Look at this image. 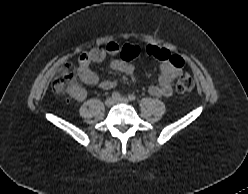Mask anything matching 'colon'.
<instances>
[{"label":"colon","instance_id":"colon-1","mask_svg":"<svg viewBox=\"0 0 248 194\" xmlns=\"http://www.w3.org/2000/svg\"><path fill=\"white\" fill-rule=\"evenodd\" d=\"M77 71L72 64H64L58 71L54 81L53 90L56 93H66L76 87ZM194 79L187 73L179 76L176 82V91L186 94L193 90Z\"/></svg>","mask_w":248,"mask_h":194}]
</instances>
